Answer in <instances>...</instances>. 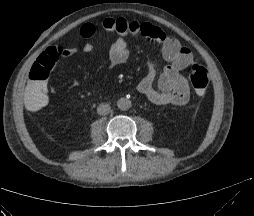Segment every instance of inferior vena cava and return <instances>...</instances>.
I'll return each instance as SVG.
<instances>
[{"mask_svg":"<svg viewBox=\"0 0 254 216\" xmlns=\"http://www.w3.org/2000/svg\"><path fill=\"white\" fill-rule=\"evenodd\" d=\"M111 110V107L109 104L107 103H101L98 107H97V113L99 115H107Z\"/></svg>","mask_w":254,"mask_h":216,"instance_id":"602c4592","label":"inferior vena cava"}]
</instances>
